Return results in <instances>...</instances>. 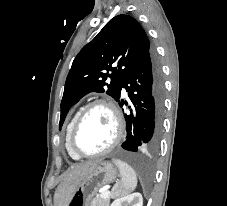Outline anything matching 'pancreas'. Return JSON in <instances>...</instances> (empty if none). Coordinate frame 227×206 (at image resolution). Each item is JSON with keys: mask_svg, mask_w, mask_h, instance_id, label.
Returning <instances> with one entry per match:
<instances>
[{"mask_svg": "<svg viewBox=\"0 0 227 206\" xmlns=\"http://www.w3.org/2000/svg\"><path fill=\"white\" fill-rule=\"evenodd\" d=\"M109 203H110V195L104 198L101 196V194H98L92 200L90 206H109Z\"/></svg>", "mask_w": 227, "mask_h": 206, "instance_id": "1", "label": "pancreas"}]
</instances>
